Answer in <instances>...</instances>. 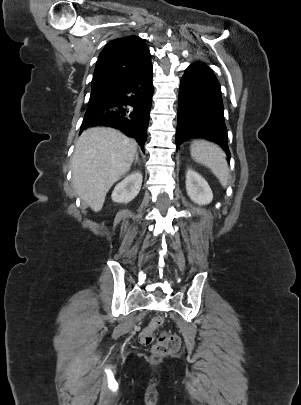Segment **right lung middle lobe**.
<instances>
[{"label": "right lung middle lobe", "mask_w": 301, "mask_h": 405, "mask_svg": "<svg viewBox=\"0 0 301 405\" xmlns=\"http://www.w3.org/2000/svg\"><path fill=\"white\" fill-rule=\"evenodd\" d=\"M111 95L112 93L110 92H92L88 102V107H92L105 101Z\"/></svg>", "instance_id": "1"}]
</instances>
